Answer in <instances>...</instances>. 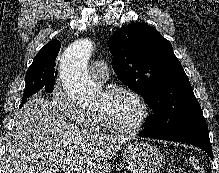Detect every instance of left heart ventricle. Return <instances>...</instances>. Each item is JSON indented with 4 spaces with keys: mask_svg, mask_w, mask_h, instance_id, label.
Wrapping results in <instances>:
<instances>
[{
    "mask_svg": "<svg viewBox=\"0 0 219 173\" xmlns=\"http://www.w3.org/2000/svg\"><path fill=\"white\" fill-rule=\"evenodd\" d=\"M96 111L118 128L127 129L134 126L140 115V107L136 100L125 93L108 96L105 92L99 98Z\"/></svg>",
    "mask_w": 219,
    "mask_h": 173,
    "instance_id": "b2bd125f",
    "label": "left heart ventricle"
}]
</instances>
